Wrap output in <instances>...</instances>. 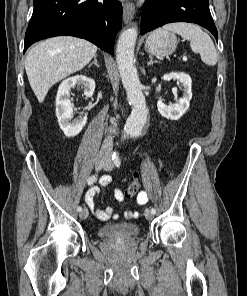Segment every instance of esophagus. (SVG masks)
Listing matches in <instances>:
<instances>
[{
  "label": "esophagus",
  "instance_id": "esophagus-1",
  "mask_svg": "<svg viewBox=\"0 0 247 296\" xmlns=\"http://www.w3.org/2000/svg\"><path fill=\"white\" fill-rule=\"evenodd\" d=\"M135 14V6L133 3L127 2L123 5V21L128 24L132 21Z\"/></svg>",
  "mask_w": 247,
  "mask_h": 296
}]
</instances>
